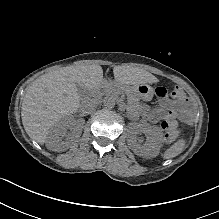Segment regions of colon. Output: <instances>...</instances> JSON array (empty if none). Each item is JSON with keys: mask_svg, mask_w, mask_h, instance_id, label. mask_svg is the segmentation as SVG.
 I'll return each instance as SVG.
<instances>
[{"mask_svg": "<svg viewBox=\"0 0 219 219\" xmlns=\"http://www.w3.org/2000/svg\"><path fill=\"white\" fill-rule=\"evenodd\" d=\"M171 95L175 98L185 95V92L179 87L175 86ZM161 129L164 132V139L166 142H173L179 135V128L176 116L173 112H168L161 122Z\"/></svg>", "mask_w": 219, "mask_h": 219, "instance_id": "1", "label": "colon"}]
</instances>
